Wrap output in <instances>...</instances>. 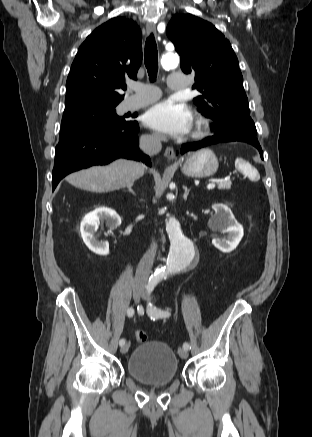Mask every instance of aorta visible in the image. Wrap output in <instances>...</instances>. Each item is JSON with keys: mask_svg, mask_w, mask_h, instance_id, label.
<instances>
[{"mask_svg": "<svg viewBox=\"0 0 312 437\" xmlns=\"http://www.w3.org/2000/svg\"><path fill=\"white\" fill-rule=\"evenodd\" d=\"M178 64L177 54L167 53L162 56L163 68H175ZM165 225L170 240V250L166 265L162 270L164 273H174L185 267L194 258L196 252L193 243L183 235L180 223L175 217H169Z\"/></svg>", "mask_w": 312, "mask_h": 437, "instance_id": "762f6f07", "label": "aorta"}]
</instances>
